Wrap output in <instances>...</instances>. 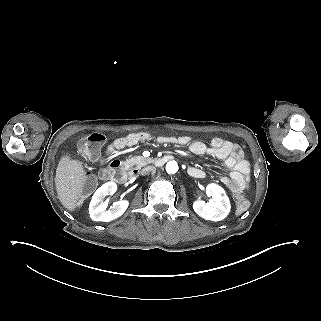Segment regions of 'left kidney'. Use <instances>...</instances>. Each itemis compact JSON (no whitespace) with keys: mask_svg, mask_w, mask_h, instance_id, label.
Here are the masks:
<instances>
[{"mask_svg":"<svg viewBox=\"0 0 321 321\" xmlns=\"http://www.w3.org/2000/svg\"><path fill=\"white\" fill-rule=\"evenodd\" d=\"M206 195L211 197L209 202L202 200L193 203L194 211L205 220L221 221L230 212L231 204L225 190L215 183H210L206 187Z\"/></svg>","mask_w":321,"mask_h":321,"instance_id":"5707ae66","label":"left kidney"}]
</instances>
